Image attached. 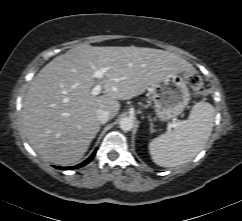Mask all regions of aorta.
Returning a JSON list of instances; mask_svg holds the SVG:
<instances>
[{"mask_svg": "<svg viewBox=\"0 0 242 221\" xmlns=\"http://www.w3.org/2000/svg\"><path fill=\"white\" fill-rule=\"evenodd\" d=\"M119 126L123 131H130L134 127V121L130 117H123L119 122Z\"/></svg>", "mask_w": 242, "mask_h": 221, "instance_id": "aorta-1", "label": "aorta"}]
</instances>
